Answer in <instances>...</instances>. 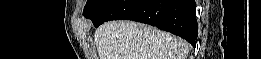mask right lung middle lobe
<instances>
[{
    "label": "right lung middle lobe",
    "mask_w": 261,
    "mask_h": 59,
    "mask_svg": "<svg viewBox=\"0 0 261 59\" xmlns=\"http://www.w3.org/2000/svg\"><path fill=\"white\" fill-rule=\"evenodd\" d=\"M115 0H88L84 8L86 18L99 14L102 10L110 6Z\"/></svg>",
    "instance_id": "1"
}]
</instances>
